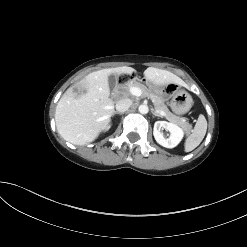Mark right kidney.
Wrapping results in <instances>:
<instances>
[{
  "label": "right kidney",
  "mask_w": 247,
  "mask_h": 247,
  "mask_svg": "<svg viewBox=\"0 0 247 247\" xmlns=\"http://www.w3.org/2000/svg\"><path fill=\"white\" fill-rule=\"evenodd\" d=\"M110 128V125H107L104 127L105 130H108Z\"/></svg>",
  "instance_id": "obj_1"
}]
</instances>
